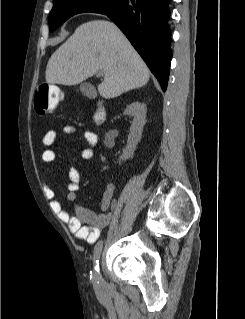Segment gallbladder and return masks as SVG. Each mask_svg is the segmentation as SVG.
I'll use <instances>...</instances> for the list:
<instances>
[{
	"mask_svg": "<svg viewBox=\"0 0 245 319\" xmlns=\"http://www.w3.org/2000/svg\"><path fill=\"white\" fill-rule=\"evenodd\" d=\"M79 90L86 97L93 98L96 96V90L94 86L90 83H87V82L81 83Z\"/></svg>",
	"mask_w": 245,
	"mask_h": 319,
	"instance_id": "bac80fb5",
	"label": "gallbladder"
}]
</instances>
